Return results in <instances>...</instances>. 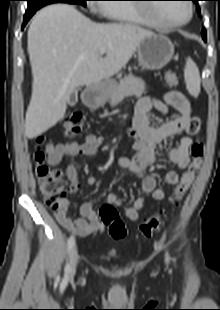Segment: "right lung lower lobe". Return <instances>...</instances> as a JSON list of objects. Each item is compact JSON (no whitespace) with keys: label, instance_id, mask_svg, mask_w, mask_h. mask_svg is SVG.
<instances>
[{"label":"right lung lower lobe","instance_id":"obj_1","mask_svg":"<svg viewBox=\"0 0 220 310\" xmlns=\"http://www.w3.org/2000/svg\"><path fill=\"white\" fill-rule=\"evenodd\" d=\"M36 11H37V10H28V9H27V11H26V13H25V16H24L22 29L24 28V26L26 25V23L28 22V20L34 15V13H35Z\"/></svg>","mask_w":220,"mask_h":310}]
</instances>
